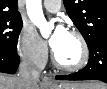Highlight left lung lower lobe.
<instances>
[{"instance_id":"obj_1","label":"left lung lower lobe","mask_w":107,"mask_h":89,"mask_svg":"<svg viewBox=\"0 0 107 89\" xmlns=\"http://www.w3.org/2000/svg\"><path fill=\"white\" fill-rule=\"evenodd\" d=\"M89 62L82 70L63 76L58 80H100L107 83V36H102L88 45Z\"/></svg>"}]
</instances>
